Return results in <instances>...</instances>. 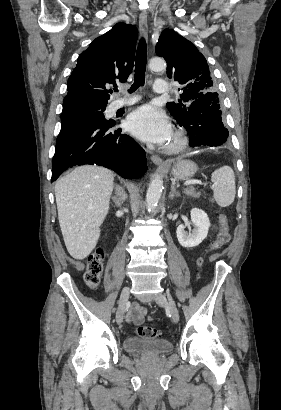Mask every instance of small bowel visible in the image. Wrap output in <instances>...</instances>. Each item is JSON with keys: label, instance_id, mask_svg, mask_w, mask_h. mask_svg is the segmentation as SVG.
<instances>
[{"label": "small bowel", "instance_id": "1", "mask_svg": "<svg viewBox=\"0 0 281 410\" xmlns=\"http://www.w3.org/2000/svg\"><path fill=\"white\" fill-rule=\"evenodd\" d=\"M147 317L146 308L139 304H133L127 314V321L134 324H141Z\"/></svg>", "mask_w": 281, "mask_h": 410}]
</instances>
